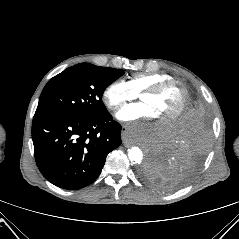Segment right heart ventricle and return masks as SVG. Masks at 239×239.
<instances>
[{"label": "right heart ventricle", "instance_id": "right-heart-ventricle-1", "mask_svg": "<svg viewBox=\"0 0 239 239\" xmlns=\"http://www.w3.org/2000/svg\"><path fill=\"white\" fill-rule=\"evenodd\" d=\"M168 79L172 78L165 73H137L129 77L126 83L133 92L139 94L147 87Z\"/></svg>", "mask_w": 239, "mask_h": 239}]
</instances>
